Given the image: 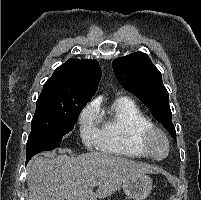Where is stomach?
Listing matches in <instances>:
<instances>
[{
  "instance_id": "stomach-1",
  "label": "stomach",
  "mask_w": 201,
  "mask_h": 200,
  "mask_svg": "<svg viewBox=\"0 0 201 200\" xmlns=\"http://www.w3.org/2000/svg\"><path fill=\"white\" fill-rule=\"evenodd\" d=\"M151 189L152 180L146 174L129 177L123 182L124 193L133 200H144Z\"/></svg>"
}]
</instances>
